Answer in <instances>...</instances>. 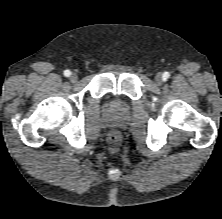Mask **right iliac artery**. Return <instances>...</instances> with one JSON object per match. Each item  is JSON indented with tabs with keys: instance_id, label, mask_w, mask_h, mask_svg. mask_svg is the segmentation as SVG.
Masks as SVG:
<instances>
[{
	"instance_id": "1",
	"label": "right iliac artery",
	"mask_w": 222,
	"mask_h": 219,
	"mask_svg": "<svg viewBox=\"0 0 222 219\" xmlns=\"http://www.w3.org/2000/svg\"><path fill=\"white\" fill-rule=\"evenodd\" d=\"M64 75H65L66 77H69V76L71 75L70 70H65V71H64Z\"/></svg>"
}]
</instances>
